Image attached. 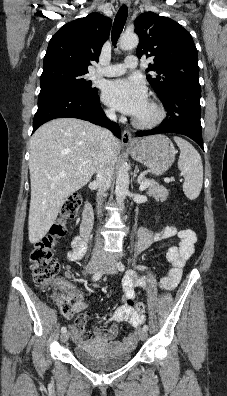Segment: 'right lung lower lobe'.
Returning <instances> with one entry per match:
<instances>
[{
  "instance_id": "obj_1",
  "label": "right lung lower lobe",
  "mask_w": 227,
  "mask_h": 396,
  "mask_svg": "<svg viewBox=\"0 0 227 396\" xmlns=\"http://www.w3.org/2000/svg\"><path fill=\"white\" fill-rule=\"evenodd\" d=\"M64 117L90 121L108 128L115 136L121 138L118 124L107 119L97 93L86 95L67 88L40 91L38 110L33 120V132L47 121Z\"/></svg>"
}]
</instances>
